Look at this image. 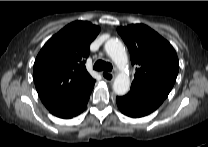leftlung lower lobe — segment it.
<instances>
[{"label": "left lung lower lobe", "mask_w": 208, "mask_h": 147, "mask_svg": "<svg viewBox=\"0 0 208 147\" xmlns=\"http://www.w3.org/2000/svg\"><path fill=\"white\" fill-rule=\"evenodd\" d=\"M164 99V97L151 91L131 86L128 94L117 97L116 102L123 114L136 118L152 113L161 105Z\"/></svg>", "instance_id": "1"}]
</instances>
